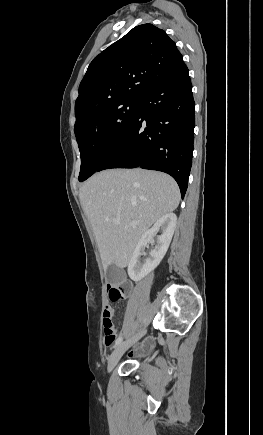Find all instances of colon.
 Wrapping results in <instances>:
<instances>
[{
	"instance_id": "obj_1",
	"label": "colon",
	"mask_w": 263,
	"mask_h": 435,
	"mask_svg": "<svg viewBox=\"0 0 263 435\" xmlns=\"http://www.w3.org/2000/svg\"><path fill=\"white\" fill-rule=\"evenodd\" d=\"M127 292L126 286L121 285H108V298L112 302L120 301L124 298ZM103 326H104V341L105 347L111 350L114 347L113 341L115 339V328L112 321V315L109 311L103 313Z\"/></svg>"
}]
</instances>
